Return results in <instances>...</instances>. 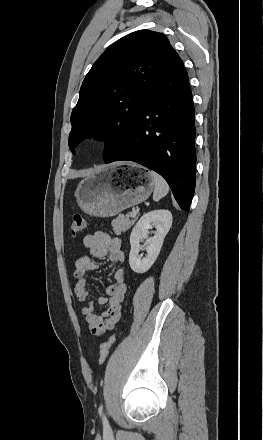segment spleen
Here are the masks:
<instances>
[{
	"instance_id": "spleen-1",
	"label": "spleen",
	"mask_w": 263,
	"mask_h": 440,
	"mask_svg": "<svg viewBox=\"0 0 263 440\" xmlns=\"http://www.w3.org/2000/svg\"><path fill=\"white\" fill-rule=\"evenodd\" d=\"M150 175L153 179L154 183V193H153V200L159 201L162 197L166 196L169 192V186L165 179L159 175L158 173L151 171Z\"/></svg>"
}]
</instances>
